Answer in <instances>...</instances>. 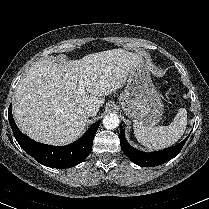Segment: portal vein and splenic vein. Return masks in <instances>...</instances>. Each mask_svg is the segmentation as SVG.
Returning <instances> with one entry per match:
<instances>
[{
	"instance_id": "18ae733b",
	"label": "portal vein and splenic vein",
	"mask_w": 209,
	"mask_h": 209,
	"mask_svg": "<svg viewBox=\"0 0 209 209\" xmlns=\"http://www.w3.org/2000/svg\"><path fill=\"white\" fill-rule=\"evenodd\" d=\"M78 91L80 94H85V82L82 79L79 81Z\"/></svg>"
}]
</instances>
